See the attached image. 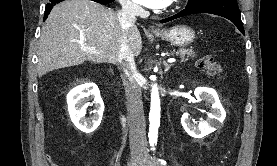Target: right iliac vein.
Masks as SVG:
<instances>
[{"label": "right iliac vein", "mask_w": 277, "mask_h": 166, "mask_svg": "<svg viewBox=\"0 0 277 166\" xmlns=\"http://www.w3.org/2000/svg\"><path fill=\"white\" fill-rule=\"evenodd\" d=\"M128 166H139V163L138 162H131V163H129Z\"/></svg>", "instance_id": "right-iliac-vein-1"}]
</instances>
